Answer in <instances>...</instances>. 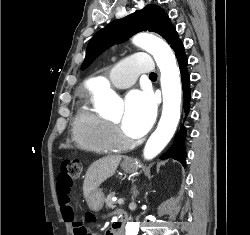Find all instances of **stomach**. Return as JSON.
<instances>
[{
  "label": "stomach",
  "mask_w": 250,
  "mask_h": 235,
  "mask_svg": "<svg viewBox=\"0 0 250 235\" xmlns=\"http://www.w3.org/2000/svg\"><path fill=\"white\" fill-rule=\"evenodd\" d=\"M121 168L126 173H133L137 170V165L133 161H124ZM88 206L93 211H99L103 207L104 194L101 189H96L90 193L87 199Z\"/></svg>",
  "instance_id": "1"
}]
</instances>
